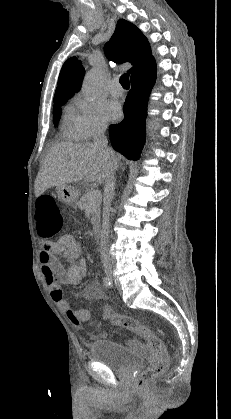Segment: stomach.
I'll list each match as a JSON object with an SVG mask.
<instances>
[{
  "label": "stomach",
  "mask_w": 231,
  "mask_h": 419,
  "mask_svg": "<svg viewBox=\"0 0 231 419\" xmlns=\"http://www.w3.org/2000/svg\"><path fill=\"white\" fill-rule=\"evenodd\" d=\"M58 198L66 204L76 203L80 194L79 190L71 185L58 186L56 188Z\"/></svg>",
  "instance_id": "1"
}]
</instances>
